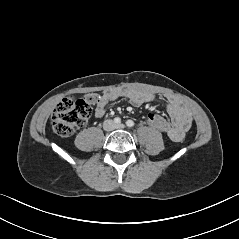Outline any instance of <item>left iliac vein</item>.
<instances>
[{"mask_svg":"<svg viewBox=\"0 0 239 239\" xmlns=\"http://www.w3.org/2000/svg\"><path fill=\"white\" fill-rule=\"evenodd\" d=\"M125 126H124V124H118V125H116V128H118V129H123Z\"/></svg>","mask_w":239,"mask_h":239,"instance_id":"left-iliac-vein-1","label":"left iliac vein"}]
</instances>
